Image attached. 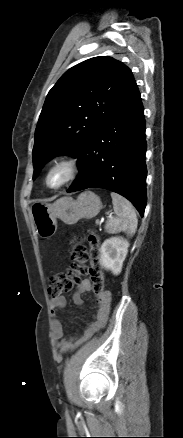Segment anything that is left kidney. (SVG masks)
I'll list each match as a JSON object with an SVG mask.
<instances>
[{
  "mask_svg": "<svg viewBox=\"0 0 183 438\" xmlns=\"http://www.w3.org/2000/svg\"><path fill=\"white\" fill-rule=\"evenodd\" d=\"M129 242L122 237L106 239L100 249V263L106 269L118 275L128 253Z\"/></svg>",
  "mask_w": 183,
  "mask_h": 438,
  "instance_id": "obj_1",
  "label": "left kidney"
}]
</instances>
